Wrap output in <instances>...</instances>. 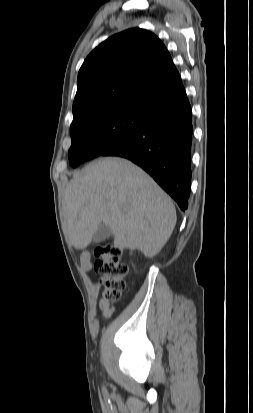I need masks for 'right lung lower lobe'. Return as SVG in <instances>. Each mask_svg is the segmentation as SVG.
<instances>
[{"instance_id": "obj_1", "label": "right lung lower lobe", "mask_w": 253, "mask_h": 413, "mask_svg": "<svg viewBox=\"0 0 253 413\" xmlns=\"http://www.w3.org/2000/svg\"><path fill=\"white\" fill-rule=\"evenodd\" d=\"M192 136V111L186 97L153 108L138 131L102 156H120L139 165L184 211L191 189Z\"/></svg>"}]
</instances>
